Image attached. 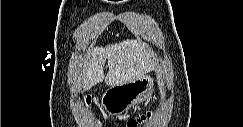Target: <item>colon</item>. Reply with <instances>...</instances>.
<instances>
[{
	"label": "colon",
	"instance_id": "colon-1",
	"mask_svg": "<svg viewBox=\"0 0 243 127\" xmlns=\"http://www.w3.org/2000/svg\"><path fill=\"white\" fill-rule=\"evenodd\" d=\"M84 103L86 106H89L91 104V97L86 96L84 99ZM151 115H152L151 112H146V113H142L136 117L130 118L126 123V126L127 127H138L143 122H145L147 119H149L151 117Z\"/></svg>",
	"mask_w": 243,
	"mask_h": 127
}]
</instances>
